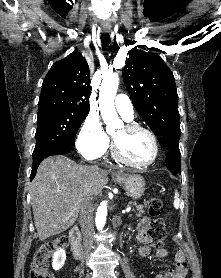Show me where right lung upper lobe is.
<instances>
[{
    "label": "right lung upper lobe",
    "mask_w": 221,
    "mask_h": 278,
    "mask_svg": "<svg viewBox=\"0 0 221 278\" xmlns=\"http://www.w3.org/2000/svg\"><path fill=\"white\" fill-rule=\"evenodd\" d=\"M90 89L87 61L73 52L52 65L43 80L38 108L89 113Z\"/></svg>",
    "instance_id": "right-lung-upper-lobe-1"
}]
</instances>
